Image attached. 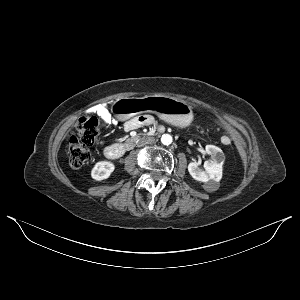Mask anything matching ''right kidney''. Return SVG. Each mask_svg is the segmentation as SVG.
Wrapping results in <instances>:
<instances>
[{
	"label": "right kidney",
	"mask_w": 300,
	"mask_h": 300,
	"mask_svg": "<svg viewBox=\"0 0 300 300\" xmlns=\"http://www.w3.org/2000/svg\"><path fill=\"white\" fill-rule=\"evenodd\" d=\"M115 165L109 161H100L95 164L91 171V176L96 181H101L109 178L114 171Z\"/></svg>",
	"instance_id": "right-kidney-1"
}]
</instances>
